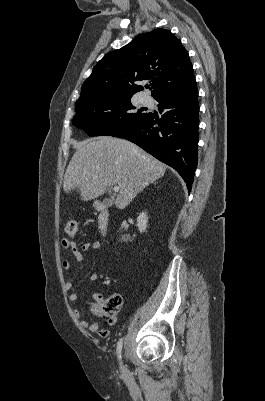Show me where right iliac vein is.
<instances>
[{"mask_svg":"<svg viewBox=\"0 0 265 401\" xmlns=\"http://www.w3.org/2000/svg\"><path fill=\"white\" fill-rule=\"evenodd\" d=\"M121 370H122L123 372H125V373L128 372V370H127V368L125 367V365H122V366H121Z\"/></svg>","mask_w":265,"mask_h":401,"instance_id":"1","label":"right iliac vein"}]
</instances>
